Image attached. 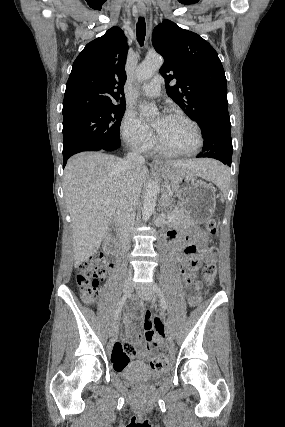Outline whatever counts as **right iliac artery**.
I'll use <instances>...</instances> for the list:
<instances>
[{
	"label": "right iliac artery",
	"instance_id": "right-iliac-artery-1",
	"mask_svg": "<svg viewBox=\"0 0 285 427\" xmlns=\"http://www.w3.org/2000/svg\"><path fill=\"white\" fill-rule=\"evenodd\" d=\"M129 297V295L128 294H125L123 297H122V299H121V301H120V303H119V306H118V308L116 309V312H115V316H114V320H117L118 318H119V315H120V313H121V311H122V308H123V306L125 305V303H126V301H127V298Z\"/></svg>",
	"mask_w": 285,
	"mask_h": 427
}]
</instances>
